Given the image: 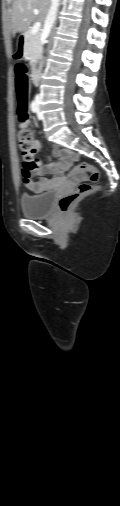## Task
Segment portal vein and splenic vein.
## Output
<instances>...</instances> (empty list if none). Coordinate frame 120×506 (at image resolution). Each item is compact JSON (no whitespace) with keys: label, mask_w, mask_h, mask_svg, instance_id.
Wrapping results in <instances>:
<instances>
[{"label":"portal vein and splenic vein","mask_w":120,"mask_h":506,"mask_svg":"<svg viewBox=\"0 0 120 506\" xmlns=\"http://www.w3.org/2000/svg\"><path fill=\"white\" fill-rule=\"evenodd\" d=\"M33 12H34V14H36V15H37V14H39V10H38V9H34V10H33ZM40 28H41V23H40V22L35 23V24H34V26H33V27H32V29H31V33H32V34H36V33H38V32H39V30H40Z\"/></svg>","instance_id":"18ae733b"}]
</instances>
